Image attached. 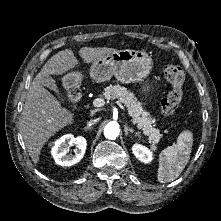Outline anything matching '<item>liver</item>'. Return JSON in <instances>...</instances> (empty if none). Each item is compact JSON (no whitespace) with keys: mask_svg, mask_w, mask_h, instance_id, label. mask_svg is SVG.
Here are the masks:
<instances>
[{"mask_svg":"<svg viewBox=\"0 0 221 221\" xmlns=\"http://www.w3.org/2000/svg\"><path fill=\"white\" fill-rule=\"evenodd\" d=\"M107 47H82L79 56L85 63H92L113 52ZM78 65L72 50L66 49L53 55L32 81L23 106L20 132L27 151L38 163L44 144L56 132L74 122V114L61 106V103L44 88V76L62 75Z\"/></svg>","mask_w":221,"mask_h":221,"instance_id":"obj_1","label":"liver"}]
</instances>
